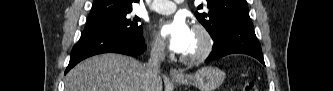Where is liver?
Masks as SVG:
<instances>
[{
    "instance_id": "1",
    "label": "liver",
    "mask_w": 333,
    "mask_h": 91,
    "mask_svg": "<svg viewBox=\"0 0 333 91\" xmlns=\"http://www.w3.org/2000/svg\"><path fill=\"white\" fill-rule=\"evenodd\" d=\"M65 91H162V80L148 81L145 66L134 58L103 54L73 68Z\"/></svg>"
}]
</instances>
